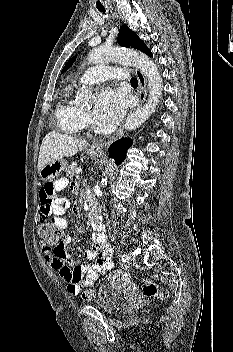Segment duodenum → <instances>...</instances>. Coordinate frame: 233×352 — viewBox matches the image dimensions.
Segmentation results:
<instances>
[{
  "label": "duodenum",
  "mask_w": 233,
  "mask_h": 352,
  "mask_svg": "<svg viewBox=\"0 0 233 352\" xmlns=\"http://www.w3.org/2000/svg\"><path fill=\"white\" fill-rule=\"evenodd\" d=\"M88 215L91 220H96L98 216V209L94 202H91L88 207Z\"/></svg>",
  "instance_id": "obj_1"
}]
</instances>
